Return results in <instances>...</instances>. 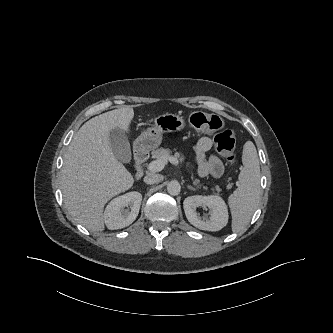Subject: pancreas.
<instances>
[{"label":"pancreas","mask_w":333,"mask_h":333,"mask_svg":"<svg viewBox=\"0 0 333 333\" xmlns=\"http://www.w3.org/2000/svg\"><path fill=\"white\" fill-rule=\"evenodd\" d=\"M174 156H175L176 158H180L181 161L184 160V157L181 156V154L178 153V152H176V153L174 154ZM152 157L155 158V159H163V158H167V159H168V158L170 157V150H169V149H165V148H159V149L154 150V151L152 152ZM191 178L193 179V176H191ZM193 184H194V185H198V184H199V180H198V179H195V180L193 181ZM227 188L230 189V188H231V185H228ZM215 190H216V191H220L219 186H215Z\"/></svg>","instance_id":"obj_1"}]
</instances>
